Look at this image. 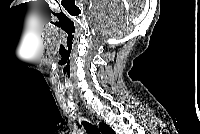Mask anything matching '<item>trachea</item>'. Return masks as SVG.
<instances>
[{
  "instance_id": "3493384b",
  "label": "trachea",
  "mask_w": 200,
  "mask_h": 134,
  "mask_svg": "<svg viewBox=\"0 0 200 134\" xmlns=\"http://www.w3.org/2000/svg\"><path fill=\"white\" fill-rule=\"evenodd\" d=\"M82 124L88 134H100L99 130L94 125L86 121H83Z\"/></svg>"
}]
</instances>
